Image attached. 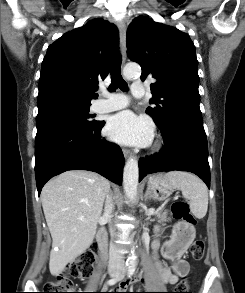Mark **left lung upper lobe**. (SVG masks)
<instances>
[{
    "instance_id": "5c2ea615",
    "label": "left lung upper lobe",
    "mask_w": 245,
    "mask_h": 293,
    "mask_svg": "<svg viewBox=\"0 0 245 293\" xmlns=\"http://www.w3.org/2000/svg\"><path fill=\"white\" fill-rule=\"evenodd\" d=\"M127 55L140 64L141 80L154 78V98L148 107L160 127L175 117L202 122L195 46L189 35L175 27L139 16L127 30Z\"/></svg>"
}]
</instances>
